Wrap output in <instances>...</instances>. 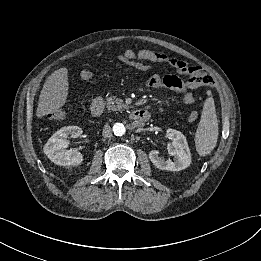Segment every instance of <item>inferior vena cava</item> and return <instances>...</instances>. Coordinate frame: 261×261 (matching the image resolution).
<instances>
[{
  "mask_svg": "<svg viewBox=\"0 0 261 261\" xmlns=\"http://www.w3.org/2000/svg\"><path fill=\"white\" fill-rule=\"evenodd\" d=\"M102 135L105 138H110L112 136V130L108 124L104 126Z\"/></svg>",
  "mask_w": 261,
  "mask_h": 261,
  "instance_id": "602c4592",
  "label": "inferior vena cava"
}]
</instances>
